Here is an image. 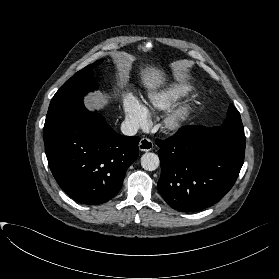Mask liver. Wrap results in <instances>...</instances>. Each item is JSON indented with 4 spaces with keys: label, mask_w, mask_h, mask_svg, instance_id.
I'll return each instance as SVG.
<instances>
[{
    "label": "liver",
    "mask_w": 279,
    "mask_h": 279,
    "mask_svg": "<svg viewBox=\"0 0 279 279\" xmlns=\"http://www.w3.org/2000/svg\"><path fill=\"white\" fill-rule=\"evenodd\" d=\"M121 71L126 74L131 67L129 62L120 63ZM143 82L148 89H154L163 82L162 72L156 68L150 66L141 70ZM92 108H100L106 102L105 97L99 96L98 98L90 97L88 100Z\"/></svg>",
    "instance_id": "obj_1"
}]
</instances>
